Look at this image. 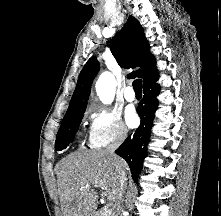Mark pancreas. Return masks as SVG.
<instances>
[{"instance_id": "1", "label": "pancreas", "mask_w": 221, "mask_h": 216, "mask_svg": "<svg viewBox=\"0 0 221 216\" xmlns=\"http://www.w3.org/2000/svg\"><path fill=\"white\" fill-rule=\"evenodd\" d=\"M101 216H111V214L109 212L103 213ZM113 216V214H112Z\"/></svg>"}]
</instances>
